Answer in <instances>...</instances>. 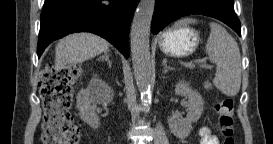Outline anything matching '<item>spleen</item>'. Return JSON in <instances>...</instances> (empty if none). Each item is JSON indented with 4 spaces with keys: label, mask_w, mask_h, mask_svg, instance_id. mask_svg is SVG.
Here are the masks:
<instances>
[{
    "label": "spleen",
    "mask_w": 273,
    "mask_h": 144,
    "mask_svg": "<svg viewBox=\"0 0 273 144\" xmlns=\"http://www.w3.org/2000/svg\"><path fill=\"white\" fill-rule=\"evenodd\" d=\"M195 19H182L174 24L178 28ZM210 35L206 43V53L211 62L217 65L213 83L217 89L228 96H235L241 86V56L235 39L221 25L211 22Z\"/></svg>",
    "instance_id": "spleen-1"
}]
</instances>
